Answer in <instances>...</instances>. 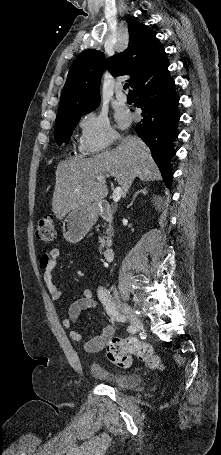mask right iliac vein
<instances>
[{
  "mask_svg": "<svg viewBox=\"0 0 221 455\" xmlns=\"http://www.w3.org/2000/svg\"><path fill=\"white\" fill-rule=\"evenodd\" d=\"M117 301L121 306L122 310L126 313L129 321L134 326L135 330L140 331L143 329V323L140 318L134 313L132 308L125 303L120 297H117Z\"/></svg>",
  "mask_w": 221,
  "mask_h": 455,
  "instance_id": "right-iliac-vein-1",
  "label": "right iliac vein"
}]
</instances>
